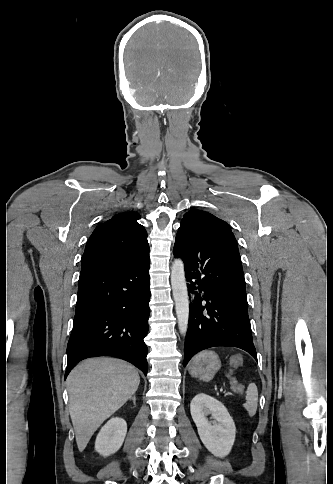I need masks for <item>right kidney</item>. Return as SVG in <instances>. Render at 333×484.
<instances>
[{"label":"right kidney","mask_w":333,"mask_h":484,"mask_svg":"<svg viewBox=\"0 0 333 484\" xmlns=\"http://www.w3.org/2000/svg\"><path fill=\"white\" fill-rule=\"evenodd\" d=\"M127 433L124 419H110L100 430L95 441V450L102 456L115 453L121 446Z\"/></svg>","instance_id":"1"}]
</instances>
